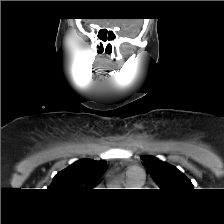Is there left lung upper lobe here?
<instances>
[{
    "label": "left lung upper lobe",
    "instance_id": "5c2ea615",
    "mask_svg": "<svg viewBox=\"0 0 224 224\" xmlns=\"http://www.w3.org/2000/svg\"><path fill=\"white\" fill-rule=\"evenodd\" d=\"M141 159L161 190L181 192L194 189L191 181L176 167L153 156H142Z\"/></svg>",
    "mask_w": 224,
    "mask_h": 224
}]
</instances>
